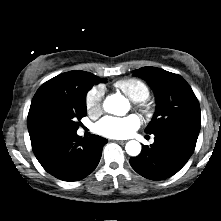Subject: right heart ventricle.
Masks as SVG:
<instances>
[{
    "mask_svg": "<svg viewBox=\"0 0 221 221\" xmlns=\"http://www.w3.org/2000/svg\"><path fill=\"white\" fill-rule=\"evenodd\" d=\"M114 86L136 102L145 101L150 95L149 87L143 81L136 78L119 80Z\"/></svg>",
    "mask_w": 221,
    "mask_h": 221,
    "instance_id": "e07e8e85",
    "label": "right heart ventricle"
}]
</instances>
